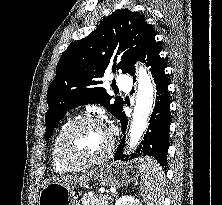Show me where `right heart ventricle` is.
I'll return each instance as SVG.
<instances>
[{
  "label": "right heart ventricle",
  "mask_w": 222,
  "mask_h": 205,
  "mask_svg": "<svg viewBox=\"0 0 222 205\" xmlns=\"http://www.w3.org/2000/svg\"><path fill=\"white\" fill-rule=\"evenodd\" d=\"M70 124V121H67L58 131L56 134L53 144H52V149H51V163L54 171L58 174H64V173H69L77 170L75 167L68 166L62 162L59 156V151H58V144H59V139L62 134V132L65 130V128Z\"/></svg>",
  "instance_id": "e07e8e85"
}]
</instances>
